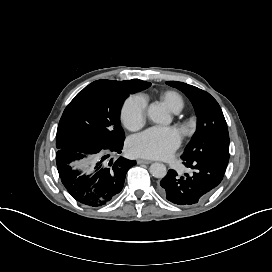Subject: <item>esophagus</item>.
I'll return each instance as SVG.
<instances>
[{
  "label": "esophagus",
  "mask_w": 272,
  "mask_h": 272,
  "mask_svg": "<svg viewBox=\"0 0 272 272\" xmlns=\"http://www.w3.org/2000/svg\"><path fill=\"white\" fill-rule=\"evenodd\" d=\"M137 163L138 164H150V163H152V161H150L148 159H137Z\"/></svg>",
  "instance_id": "esophagus-1"
}]
</instances>
